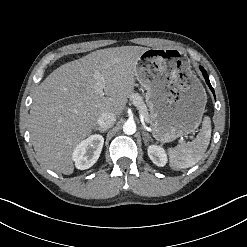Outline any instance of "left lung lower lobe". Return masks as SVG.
<instances>
[{"mask_svg":"<svg viewBox=\"0 0 247 247\" xmlns=\"http://www.w3.org/2000/svg\"><path fill=\"white\" fill-rule=\"evenodd\" d=\"M200 70H201L202 73H203V76H204V78H205V80H206V83L208 84L209 88L211 89V91H212L213 94H214V89L212 88V86H211V84H210V81H209V77H208V75H207V72L205 71V69H204L203 67H200Z\"/></svg>","mask_w":247,"mask_h":247,"instance_id":"0a47b994","label":"left lung lower lobe"}]
</instances>
